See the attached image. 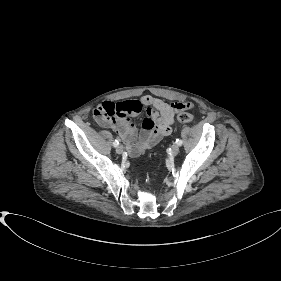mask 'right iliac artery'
I'll return each mask as SVG.
<instances>
[{
	"label": "right iliac artery",
	"mask_w": 281,
	"mask_h": 281,
	"mask_svg": "<svg viewBox=\"0 0 281 281\" xmlns=\"http://www.w3.org/2000/svg\"><path fill=\"white\" fill-rule=\"evenodd\" d=\"M118 145H119V141H118V140H114L113 146H114V147H117Z\"/></svg>",
	"instance_id": "right-iliac-artery-1"
}]
</instances>
